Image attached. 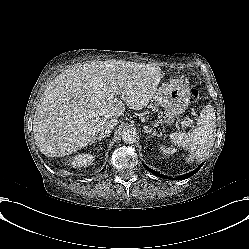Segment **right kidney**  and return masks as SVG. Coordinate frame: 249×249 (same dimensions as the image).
I'll return each instance as SVG.
<instances>
[{"mask_svg": "<svg viewBox=\"0 0 249 249\" xmlns=\"http://www.w3.org/2000/svg\"><path fill=\"white\" fill-rule=\"evenodd\" d=\"M85 165H90L91 164V160H87L85 163H84Z\"/></svg>", "mask_w": 249, "mask_h": 249, "instance_id": "1", "label": "right kidney"}]
</instances>
